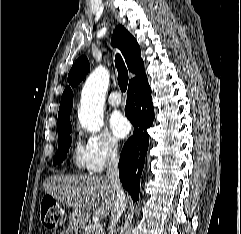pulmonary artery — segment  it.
<instances>
[{"instance_id": "pulmonary-artery-1", "label": "pulmonary artery", "mask_w": 241, "mask_h": 234, "mask_svg": "<svg viewBox=\"0 0 241 234\" xmlns=\"http://www.w3.org/2000/svg\"><path fill=\"white\" fill-rule=\"evenodd\" d=\"M108 104L117 107L121 104V96L118 92H112L108 97Z\"/></svg>"}]
</instances>
